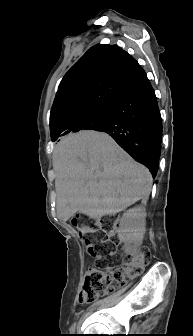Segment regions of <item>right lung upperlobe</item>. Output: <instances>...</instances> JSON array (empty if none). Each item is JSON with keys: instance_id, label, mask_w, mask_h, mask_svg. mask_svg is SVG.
<instances>
[{"instance_id": "right-lung-upper-lobe-1", "label": "right lung upper lobe", "mask_w": 193, "mask_h": 336, "mask_svg": "<svg viewBox=\"0 0 193 336\" xmlns=\"http://www.w3.org/2000/svg\"><path fill=\"white\" fill-rule=\"evenodd\" d=\"M140 65L117 45H95L63 77L50 114L52 140L77 132L75 120L111 108Z\"/></svg>"}]
</instances>
